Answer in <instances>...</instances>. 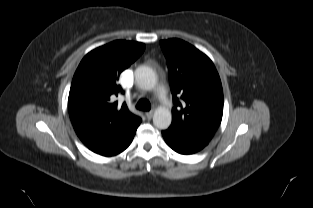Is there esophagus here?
Returning a JSON list of instances; mask_svg holds the SVG:
<instances>
[{
    "label": "esophagus",
    "mask_w": 313,
    "mask_h": 208,
    "mask_svg": "<svg viewBox=\"0 0 313 208\" xmlns=\"http://www.w3.org/2000/svg\"><path fill=\"white\" fill-rule=\"evenodd\" d=\"M153 114H154V111L151 110V111L146 112V113H145V116H146V118H147L148 120H151L152 117H153Z\"/></svg>",
    "instance_id": "obj_1"
}]
</instances>
